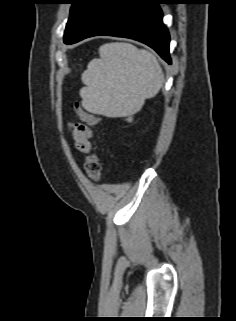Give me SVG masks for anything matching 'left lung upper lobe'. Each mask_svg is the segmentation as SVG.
Here are the masks:
<instances>
[{
	"label": "left lung upper lobe",
	"mask_w": 236,
	"mask_h": 321,
	"mask_svg": "<svg viewBox=\"0 0 236 321\" xmlns=\"http://www.w3.org/2000/svg\"><path fill=\"white\" fill-rule=\"evenodd\" d=\"M95 1L96 0H70L69 3L72 4V7L64 33L65 43L72 39L78 32Z\"/></svg>",
	"instance_id": "5c2ea615"
}]
</instances>
